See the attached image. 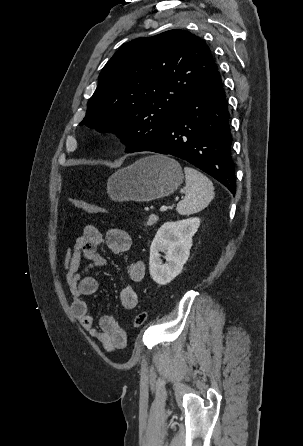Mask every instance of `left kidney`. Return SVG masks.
Instances as JSON below:
<instances>
[{"label":"left kidney","instance_id":"left-kidney-1","mask_svg":"<svg viewBox=\"0 0 303 446\" xmlns=\"http://www.w3.org/2000/svg\"><path fill=\"white\" fill-rule=\"evenodd\" d=\"M200 226L197 217L166 222L157 231L151 247L149 271L159 285L170 283L178 276L187 262L192 247V237ZM159 252L165 253L166 264L162 263Z\"/></svg>","mask_w":303,"mask_h":446}]
</instances>
